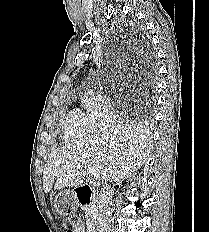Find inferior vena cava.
Listing matches in <instances>:
<instances>
[{"mask_svg":"<svg viewBox=\"0 0 209 232\" xmlns=\"http://www.w3.org/2000/svg\"><path fill=\"white\" fill-rule=\"evenodd\" d=\"M112 191L110 181H106L99 195L96 232H110Z\"/></svg>","mask_w":209,"mask_h":232,"instance_id":"1","label":"inferior vena cava"}]
</instances>
